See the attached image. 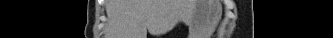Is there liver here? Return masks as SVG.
Segmentation results:
<instances>
[{"label":"liver","instance_id":"obj_1","mask_svg":"<svg viewBox=\"0 0 333 38\" xmlns=\"http://www.w3.org/2000/svg\"><path fill=\"white\" fill-rule=\"evenodd\" d=\"M143 2L144 3L142 4V11H145V12H154V11L159 10L162 7L160 1L144 0Z\"/></svg>","mask_w":333,"mask_h":38}]
</instances>
